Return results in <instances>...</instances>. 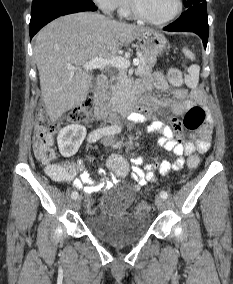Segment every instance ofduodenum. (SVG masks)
Instances as JSON below:
<instances>
[{
    "label": "duodenum",
    "instance_id": "duodenum-1",
    "mask_svg": "<svg viewBox=\"0 0 233 284\" xmlns=\"http://www.w3.org/2000/svg\"><path fill=\"white\" fill-rule=\"evenodd\" d=\"M108 85V77L101 74L96 79V89L94 92L95 101V117L100 121H108L118 130V124L122 116L131 113L137 108L140 98L141 89L135 90L120 105L111 107L106 100V89Z\"/></svg>",
    "mask_w": 233,
    "mask_h": 284
}]
</instances>
